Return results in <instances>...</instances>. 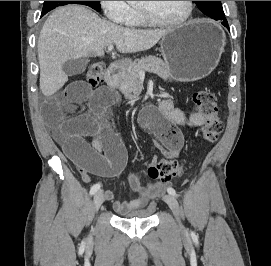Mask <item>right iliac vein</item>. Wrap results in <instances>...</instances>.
Instances as JSON below:
<instances>
[{"instance_id":"63e3f726","label":"right iliac vein","mask_w":271,"mask_h":266,"mask_svg":"<svg viewBox=\"0 0 271 266\" xmlns=\"http://www.w3.org/2000/svg\"><path fill=\"white\" fill-rule=\"evenodd\" d=\"M104 202V195L102 191H98L93 198L92 211L97 212L102 203Z\"/></svg>"}]
</instances>
